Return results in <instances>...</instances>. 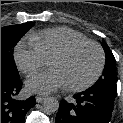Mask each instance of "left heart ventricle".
<instances>
[{"label":"left heart ventricle","mask_w":123,"mask_h":123,"mask_svg":"<svg viewBox=\"0 0 123 123\" xmlns=\"http://www.w3.org/2000/svg\"><path fill=\"white\" fill-rule=\"evenodd\" d=\"M99 65V53L95 47L85 46L66 58H52L49 66L58 70L66 85H78L88 81Z\"/></svg>","instance_id":"obj_1"}]
</instances>
